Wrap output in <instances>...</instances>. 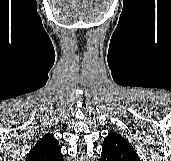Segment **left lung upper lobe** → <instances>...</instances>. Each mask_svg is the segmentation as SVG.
Returning a JSON list of instances; mask_svg holds the SVG:
<instances>
[{
	"instance_id": "left-lung-upper-lobe-1",
	"label": "left lung upper lobe",
	"mask_w": 171,
	"mask_h": 161,
	"mask_svg": "<svg viewBox=\"0 0 171 161\" xmlns=\"http://www.w3.org/2000/svg\"><path fill=\"white\" fill-rule=\"evenodd\" d=\"M102 146L101 161H140L133 146L116 132H110Z\"/></svg>"
}]
</instances>
